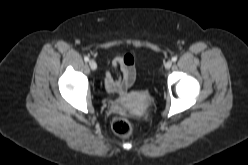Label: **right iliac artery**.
<instances>
[{"instance_id": "82829eb1", "label": "right iliac artery", "mask_w": 248, "mask_h": 165, "mask_svg": "<svg viewBox=\"0 0 248 165\" xmlns=\"http://www.w3.org/2000/svg\"><path fill=\"white\" fill-rule=\"evenodd\" d=\"M84 60H85V62H88L89 61V57L85 56L84 57Z\"/></svg>"}]
</instances>
